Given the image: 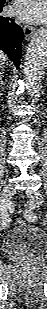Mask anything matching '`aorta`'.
I'll list each match as a JSON object with an SVG mask.
<instances>
[{
	"mask_svg": "<svg viewBox=\"0 0 47 309\" xmlns=\"http://www.w3.org/2000/svg\"><path fill=\"white\" fill-rule=\"evenodd\" d=\"M47 63V31L40 28L28 45L24 59V82L29 96H34L41 88Z\"/></svg>",
	"mask_w": 47,
	"mask_h": 309,
	"instance_id": "762f6f07",
	"label": "aorta"
}]
</instances>
